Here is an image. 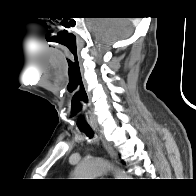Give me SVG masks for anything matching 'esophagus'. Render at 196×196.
<instances>
[{
  "label": "esophagus",
  "instance_id": "esophagus-1",
  "mask_svg": "<svg viewBox=\"0 0 196 196\" xmlns=\"http://www.w3.org/2000/svg\"><path fill=\"white\" fill-rule=\"evenodd\" d=\"M99 134H100L101 136H103V134H102L101 131L99 132ZM104 145H105V148H106V150L108 151V153H109L111 159H112L113 161H116V153H115L114 149L112 148V146L110 145V143H109L108 141L105 140Z\"/></svg>",
  "mask_w": 196,
  "mask_h": 196
}]
</instances>
